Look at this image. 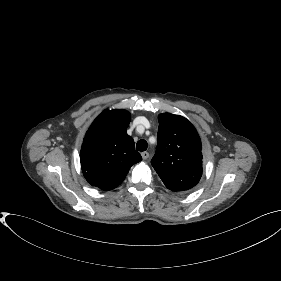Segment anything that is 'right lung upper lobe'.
I'll list each match as a JSON object with an SVG mask.
<instances>
[{"label":"right lung upper lobe","instance_id":"right-lung-upper-lobe-1","mask_svg":"<svg viewBox=\"0 0 281 281\" xmlns=\"http://www.w3.org/2000/svg\"><path fill=\"white\" fill-rule=\"evenodd\" d=\"M131 115L126 110L103 111L84 138L80 162L86 180L102 190H112L125 179L132 165L142 160L126 132Z\"/></svg>","mask_w":281,"mask_h":281}]
</instances>
